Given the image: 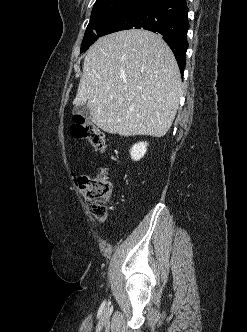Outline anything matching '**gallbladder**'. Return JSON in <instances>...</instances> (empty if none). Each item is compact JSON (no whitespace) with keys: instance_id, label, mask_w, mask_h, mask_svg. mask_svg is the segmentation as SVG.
<instances>
[{"instance_id":"obj_1","label":"gallbladder","mask_w":247,"mask_h":332,"mask_svg":"<svg viewBox=\"0 0 247 332\" xmlns=\"http://www.w3.org/2000/svg\"><path fill=\"white\" fill-rule=\"evenodd\" d=\"M74 115H82L86 119H89L91 116L90 108L87 103L77 105L73 108Z\"/></svg>"}]
</instances>
